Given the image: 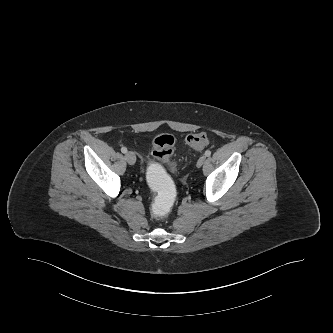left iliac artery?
Returning <instances> with one entry per match:
<instances>
[{
	"label": "left iliac artery",
	"mask_w": 333,
	"mask_h": 333,
	"mask_svg": "<svg viewBox=\"0 0 333 333\" xmlns=\"http://www.w3.org/2000/svg\"><path fill=\"white\" fill-rule=\"evenodd\" d=\"M211 155V151L210 150H206L205 151V156L209 157Z\"/></svg>",
	"instance_id": "1"
}]
</instances>
